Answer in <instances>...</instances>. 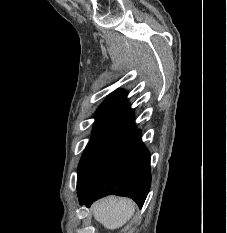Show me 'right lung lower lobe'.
<instances>
[{"mask_svg":"<svg viewBox=\"0 0 227 233\" xmlns=\"http://www.w3.org/2000/svg\"><path fill=\"white\" fill-rule=\"evenodd\" d=\"M151 184L150 153L141 131L132 130L116 140L77 186L80 204L114 194L132 198L141 208Z\"/></svg>","mask_w":227,"mask_h":233,"instance_id":"98d812e1","label":"right lung lower lobe"}]
</instances>
